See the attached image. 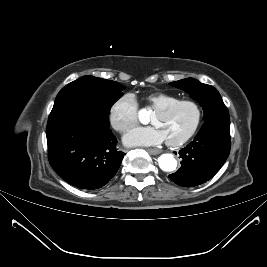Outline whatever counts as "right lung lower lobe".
Masks as SVG:
<instances>
[{
	"label": "right lung lower lobe",
	"instance_id": "1",
	"mask_svg": "<svg viewBox=\"0 0 267 267\" xmlns=\"http://www.w3.org/2000/svg\"><path fill=\"white\" fill-rule=\"evenodd\" d=\"M52 168L69 184L93 190L106 185L118 171L124 153L108 124L79 114L65 115L46 127Z\"/></svg>",
	"mask_w": 267,
	"mask_h": 267
}]
</instances>
